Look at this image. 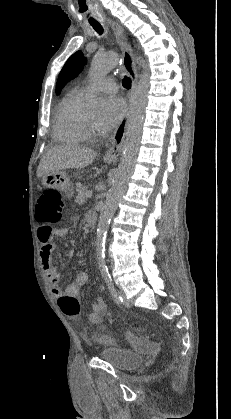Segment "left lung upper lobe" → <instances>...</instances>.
Returning a JSON list of instances; mask_svg holds the SVG:
<instances>
[{"instance_id":"obj_1","label":"left lung upper lobe","mask_w":231,"mask_h":419,"mask_svg":"<svg viewBox=\"0 0 231 419\" xmlns=\"http://www.w3.org/2000/svg\"><path fill=\"white\" fill-rule=\"evenodd\" d=\"M85 58L81 51L75 52L63 66L56 84V93L59 94L65 84L75 78L83 69Z\"/></svg>"}]
</instances>
